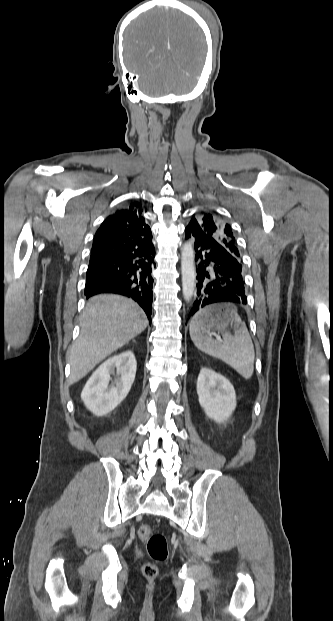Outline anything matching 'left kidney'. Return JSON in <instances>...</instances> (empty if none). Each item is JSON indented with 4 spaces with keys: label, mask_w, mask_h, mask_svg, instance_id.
Listing matches in <instances>:
<instances>
[{
    "label": "left kidney",
    "mask_w": 333,
    "mask_h": 621,
    "mask_svg": "<svg viewBox=\"0 0 333 621\" xmlns=\"http://www.w3.org/2000/svg\"><path fill=\"white\" fill-rule=\"evenodd\" d=\"M199 403L207 417L217 423H224L236 408V393L233 385L221 374L208 368H201L197 379Z\"/></svg>",
    "instance_id": "left-kidney-1"
}]
</instances>
